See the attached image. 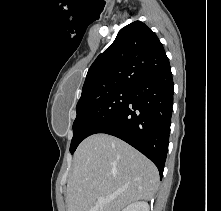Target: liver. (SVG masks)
I'll use <instances>...</instances> for the list:
<instances>
[{"mask_svg":"<svg viewBox=\"0 0 221 211\" xmlns=\"http://www.w3.org/2000/svg\"><path fill=\"white\" fill-rule=\"evenodd\" d=\"M159 187L156 166L124 141L108 135L86 138L74 154L67 183L68 211H121L150 200ZM113 196L101 206L99 197Z\"/></svg>","mask_w":221,"mask_h":211,"instance_id":"liver-1","label":"liver"}]
</instances>
